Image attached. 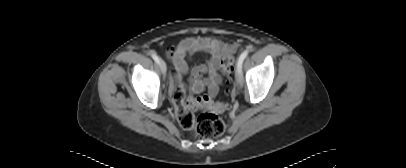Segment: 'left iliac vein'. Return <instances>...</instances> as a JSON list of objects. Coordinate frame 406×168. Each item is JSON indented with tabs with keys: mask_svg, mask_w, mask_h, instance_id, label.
<instances>
[{
	"mask_svg": "<svg viewBox=\"0 0 406 168\" xmlns=\"http://www.w3.org/2000/svg\"><path fill=\"white\" fill-rule=\"evenodd\" d=\"M235 79H236V82H237L238 85L243 84L242 70H240L238 67L236 69Z\"/></svg>",
	"mask_w": 406,
	"mask_h": 168,
	"instance_id": "obj_1",
	"label": "left iliac vein"
}]
</instances>
